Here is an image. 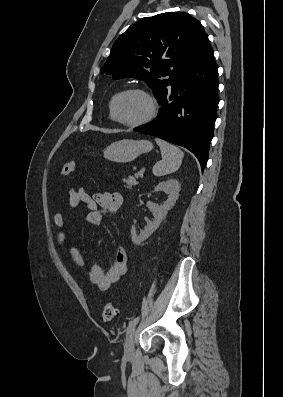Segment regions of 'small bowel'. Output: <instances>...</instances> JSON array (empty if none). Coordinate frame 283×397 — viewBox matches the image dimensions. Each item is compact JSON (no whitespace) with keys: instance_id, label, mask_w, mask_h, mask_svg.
Masks as SVG:
<instances>
[{"instance_id":"small-bowel-1","label":"small bowel","mask_w":283,"mask_h":397,"mask_svg":"<svg viewBox=\"0 0 283 397\" xmlns=\"http://www.w3.org/2000/svg\"><path fill=\"white\" fill-rule=\"evenodd\" d=\"M69 209L84 207L87 209L86 221L92 225H100L107 214L116 213L123 204L121 194L114 192L96 193L93 196L88 195L82 187L71 188L68 192ZM55 225L58 228L57 241L59 245H64L66 233L64 228L67 225V219L64 215L57 212L53 216ZM73 262L80 267L85 265V260L76 246L69 250ZM127 252L123 246L116 249L115 259L112 266L105 271L100 265L94 264L85 274L88 280L96 285L100 290H108L127 272Z\"/></svg>"}]
</instances>
